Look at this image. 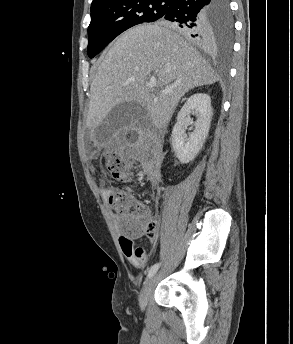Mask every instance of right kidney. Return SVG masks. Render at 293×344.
<instances>
[{
  "label": "right kidney",
  "instance_id": "ca27d5eb",
  "mask_svg": "<svg viewBox=\"0 0 293 344\" xmlns=\"http://www.w3.org/2000/svg\"><path fill=\"white\" fill-rule=\"evenodd\" d=\"M190 115H195L196 120L193 121ZM211 117V98L205 93L190 96L179 111L172 130V148L181 163H189L197 156L208 135ZM186 125L194 126L189 138L185 137Z\"/></svg>",
  "mask_w": 293,
  "mask_h": 344
}]
</instances>
